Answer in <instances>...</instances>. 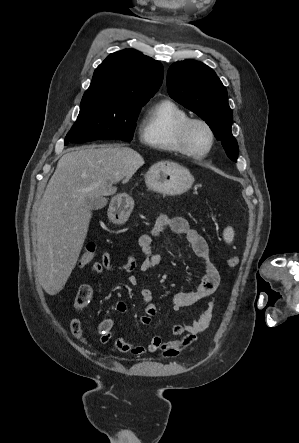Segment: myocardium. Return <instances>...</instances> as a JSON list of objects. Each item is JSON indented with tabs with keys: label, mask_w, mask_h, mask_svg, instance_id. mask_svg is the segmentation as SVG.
<instances>
[{
	"label": "myocardium",
	"mask_w": 299,
	"mask_h": 443,
	"mask_svg": "<svg viewBox=\"0 0 299 443\" xmlns=\"http://www.w3.org/2000/svg\"><path fill=\"white\" fill-rule=\"evenodd\" d=\"M200 124L204 126L210 136V144L208 148L203 152H196L191 149L189 145V133L193 125ZM178 143L182 152L192 158L200 159L206 157L213 149L215 145V133L212 126L204 119L201 118H189L181 125L178 132Z\"/></svg>",
	"instance_id": "f54148a6"
}]
</instances>
